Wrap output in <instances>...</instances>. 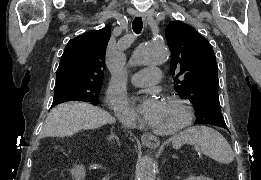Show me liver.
<instances>
[{
	"label": "liver",
	"mask_w": 261,
	"mask_h": 180,
	"mask_svg": "<svg viewBox=\"0 0 261 180\" xmlns=\"http://www.w3.org/2000/svg\"><path fill=\"white\" fill-rule=\"evenodd\" d=\"M115 122L108 112L82 102H69L53 108L44 126L45 136H74L81 130H95Z\"/></svg>",
	"instance_id": "liver-1"
}]
</instances>
